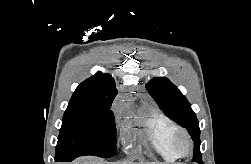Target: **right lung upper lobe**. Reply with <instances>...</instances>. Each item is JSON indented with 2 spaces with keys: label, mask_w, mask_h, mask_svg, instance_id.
<instances>
[{
  "label": "right lung upper lobe",
  "mask_w": 251,
  "mask_h": 164,
  "mask_svg": "<svg viewBox=\"0 0 251 164\" xmlns=\"http://www.w3.org/2000/svg\"><path fill=\"white\" fill-rule=\"evenodd\" d=\"M116 94L117 90L112 76L99 72L86 79L76 88L71 101L111 105Z\"/></svg>",
  "instance_id": "obj_1"
}]
</instances>
